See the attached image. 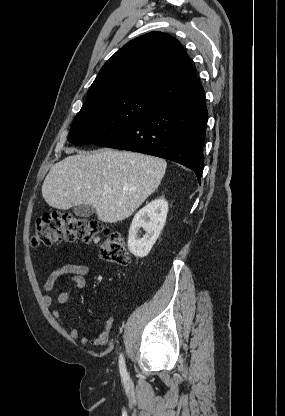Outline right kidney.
Here are the masks:
<instances>
[{"label":"right kidney","instance_id":"obj_1","mask_svg":"<svg viewBox=\"0 0 285 416\" xmlns=\"http://www.w3.org/2000/svg\"><path fill=\"white\" fill-rule=\"evenodd\" d=\"M168 212V202L164 198L152 200L135 214L128 234V250L136 258H145L154 246L164 228ZM143 228L146 234L137 238V232Z\"/></svg>","mask_w":285,"mask_h":416}]
</instances>
